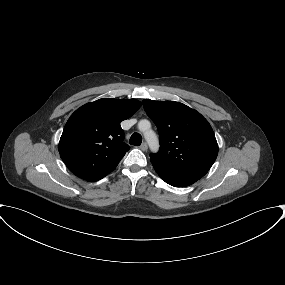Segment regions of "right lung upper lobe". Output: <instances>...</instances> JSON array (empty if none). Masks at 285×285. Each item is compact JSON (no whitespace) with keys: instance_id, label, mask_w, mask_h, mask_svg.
Here are the masks:
<instances>
[{"instance_id":"1","label":"right lung upper lobe","mask_w":285,"mask_h":285,"mask_svg":"<svg viewBox=\"0 0 285 285\" xmlns=\"http://www.w3.org/2000/svg\"><path fill=\"white\" fill-rule=\"evenodd\" d=\"M141 105L136 99L102 98L78 108L59 142L60 157L68 169L86 181H98L112 172L130 149L123 142L120 122Z\"/></svg>"}]
</instances>
